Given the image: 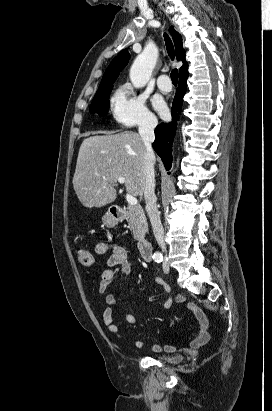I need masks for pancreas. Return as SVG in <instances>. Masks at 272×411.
<instances>
[{"label":"pancreas","mask_w":272,"mask_h":411,"mask_svg":"<svg viewBox=\"0 0 272 411\" xmlns=\"http://www.w3.org/2000/svg\"><path fill=\"white\" fill-rule=\"evenodd\" d=\"M125 219L129 224L134 239L139 240L144 238L148 231V224L143 208L141 206H128Z\"/></svg>","instance_id":"cf45deb5"}]
</instances>
